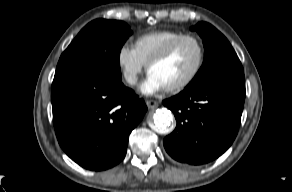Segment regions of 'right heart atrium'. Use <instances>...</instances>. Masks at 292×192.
<instances>
[{
    "label": "right heart atrium",
    "instance_id": "obj_1",
    "mask_svg": "<svg viewBox=\"0 0 292 192\" xmlns=\"http://www.w3.org/2000/svg\"><path fill=\"white\" fill-rule=\"evenodd\" d=\"M116 61L124 81L129 86H134L145 67L136 49L128 44L121 45L117 51Z\"/></svg>",
    "mask_w": 292,
    "mask_h": 192
}]
</instances>
